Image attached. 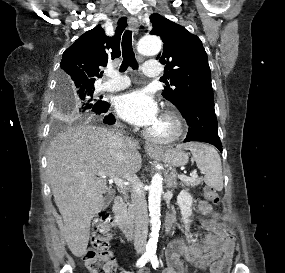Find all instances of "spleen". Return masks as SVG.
<instances>
[{
    "instance_id": "spleen-1",
    "label": "spleen",
    "mask_w": 285,
    "mask_h": 273,
    "mask_svg": "<svg viewBox=\"0 0 285 273\" xmlns=\"http://www.w3.org/2000/svg\"><path fill=\"white\" fill-rule=\"evenodd\" d=\"M179 147L191 151L197 167L205 174V183L221 191L223 189L222 165L217 151L207 144L194 142Z\"/></svg>"
}]
</instances>
